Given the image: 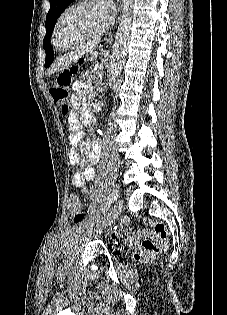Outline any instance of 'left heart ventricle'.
Returning a JSON list of instances; mask_svg holds the SVG:
<instances>
[{"instance_id":"obj_1","label":"left heart ventricle","mask_w":227,"mask_h":315,"mask_svg":"<svg viewBox=\"0 0 227 315\" xmlns=\"http://www.w3.org/2000/svg\"><path fill=\"white\" fill-rule=\"evenodd\" d=\"M105 21L104 13L97 5L74 8L63 18L56 42L60 47L77 44L96 34Z\"/></svg>"}]
</instances>
